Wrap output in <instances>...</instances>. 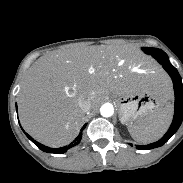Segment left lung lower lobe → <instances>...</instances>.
<instances>
[{"label": "left lung lower lobe", "instance_id": "0a47b994", "mask_svg": "<svg viewBox=\"0 0 183 183\" xmlns=\"http://www.w3.org/2000/svg\"><path fill=\"white\" fill-rule=\"evenodd\" d=\"M151 53L152 54L150 55H152V57H154L163 66V68L172 78L175 91V112L172 124L168 129V131L166 132V134L157 142L148 145L137 146V148L140 150H149L164 145L176 133V131L178 130L183 121L182 79L177 69L170 63L169 58L164 51L160 49H154L153 51H151Z\"/></svg>", "mask_w": 183, "mask_h": 183}]
</instances>
